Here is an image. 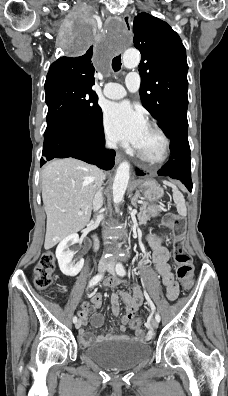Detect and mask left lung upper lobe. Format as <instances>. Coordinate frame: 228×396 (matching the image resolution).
Here are the masks:
<instances>
[{
    "label": "left lung upper lobe",
    "instance_id": "1",
    "mask_svg": "<svg viewBox=\"0 0 228 396\" xmlns=\"http://www.w3.org/2000/svg\"><path fill=\"white\" fill-rule=\"evenodd\" d=\"M134 46L141 53L140 98L162 126L173 110L188 106V65L179 35L164 21L147 13L134 19Z\"/></svg>",
    "mask_w": 228,
    "mask_h": 396
}]
</instances>
